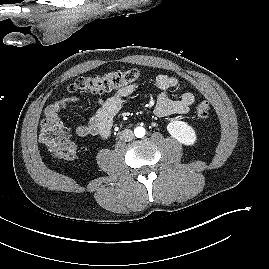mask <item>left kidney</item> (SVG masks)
Listing matches in <instances>:
<instances>
[{
	"instance_id": "5707ae66",
	"label": "left kidney",
	"mask_w": 269,
	"mask_h": 269,
	"mask_svg": "<svg viewBox=\"0 0 269 269\" xmlns=\"http://www.w3.org/2000/svg\"><path fill=\"white\" fill-rule=\"evenodd\" d=\"M170 135L184 145H193L197 136L192 126L184 121H172L167 125Z\"/></svg>"
}]
</instances>
